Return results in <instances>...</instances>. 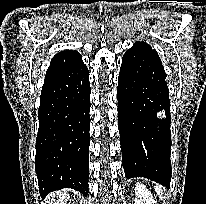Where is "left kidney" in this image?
Here are the masks:
<instances>
[{"instance_id": "1", "label": "left kidney", "mask_w": 206, "mask_h": 204, "mask_svg": "<svg viewBox=\"0 0 206 204\" xmlns=\"http://www.w3.org/2000/svg\"><path fill=\"white\" fill-rule=\"evenodd\" d=\"M155 201L151 192L142 183L135 185V202L134 204H154Z\"/></svg>"}]
</instances>
